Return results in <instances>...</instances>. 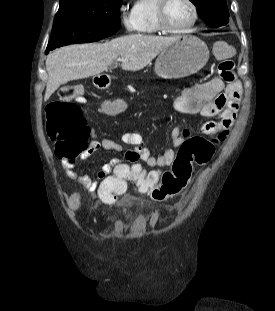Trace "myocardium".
<instances>
[{
  "label": "myocardium",
  "instance_id": "1",
  "mask_svg": "<svg viewBox=\"0 0 275 311\" xmlns=\"http://www.w3.org/2000/svg\"><path fill=\"white\" fill-rule=\"evenodd\" d=\"M171 0H158L157 7H156V17H157V24L160 31L168 33V34H184L187 33L197 22L198 20V8L194 2V0H186L187 3L190 5L192 10V19L191 21L184 26L183 28L173 29L171 28L166 20V13L167 8Z\"/></svg>",
  "mask_w": 275,
  "mask_h": 311
}]
</instances>
